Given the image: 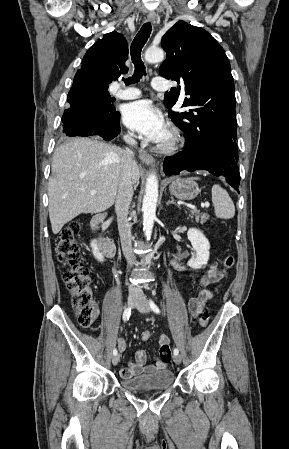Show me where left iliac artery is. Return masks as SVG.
<instances>
[{
  "instance_id": "44dca946",
  "label": "left iliac artery",
  "mask_w": 289,
  "mask_h": 449,
  "mask_svg": "<svg viewBox=\"0 0 289 449\" xmlns=\"http://www.w3.org/2000/svg\"><path fill=\"white\" fill-rule=\"evenodd\" d=\"M149 305L150 308L157 314H160V309L159 307L154 303V301H152L151 299L149 300ZM174 355H177L179 353V350L177 348L174 349Z\"/></svg>"
}]
</instances>
